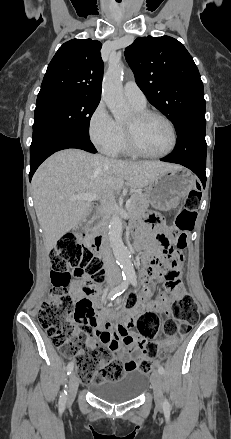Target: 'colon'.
<instances>
[{"label":"colon","instance_id":"colon-1","mask_svg":"<svg viewBox=\"0 0 231 439\" xmlns=\"http://www.w3.org/2000/svg\"><path fill=\"white\" fill-rule=\"evenodd\" d=\"M200 199V193H190L184 201L182 211L174 219L178 230L176 239L182 244L187 240V233L194 229ZM157 219L160 220L159 217L153 220ZM158 238L161 241L167 240L163 234H159ZM50 264L52 288L48 298L39 307L38 320L53 346L63 356L74 357L83 382L117 381L122 378L126 368H139L150 373L159 355L154 339L159 335L160 328L162 327L169 340L177 342L198 321V309L193 297L190 294L177 296L163 323L154 312L142 314L137 321V330L146 340L144 355L147 358L137 363L129 361L127 364L112 360L109 351L95 345V342L86 346L93 339V334L89 327L80 322L79 317L84 314L89 303L75 301L74 297V287L80 286L89 294L95 290V285L103 282L105 272L101 259L81 244L74 234L69 233L53 248ZM164 276L166 282H169L175 277V273L167 271ZM136 302L137 297L132 295L127 300L126 307L131 309ZM84 346L86 352L81 353Z\"/></svg>","mask_w":231,"mask_h":439}]
</instances>
